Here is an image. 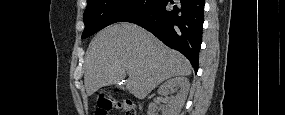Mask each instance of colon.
I'll list each match as a JSON object with an SVG mask.
<instances>
[{
    "label": "colon",
    "instance_id": "obj_1",
    "mask_svg": "<svg viewBox=\"0 0 285 115\" xmlns=\"http://www.w3.org/2000/svg\"><path fill=\"white\" fill-rule=\"evenodd\" d=\"M112 108H116L121 110L127 115H135L136 112L129 100H124V101H115L110 98H104L102 97L98 101V106L96 113L97 115H106L108 111Z\"/></svg>",
    "mask_w": 285,
    "mask_h": 115
}]
</instances>
